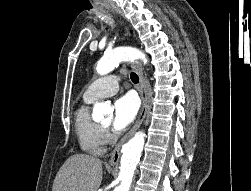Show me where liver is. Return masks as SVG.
<instances>
[{
    "label": "liver",
    "instance_id": "1",
    "mask_svg": "<svg viewBox=\"0 0 251 191\" xmlns=\"http://www.w3.org/2000/svg\"><path fill=\"white\" fill-rule=\"evenodd\" d=\"M102 177L101 159L86 153H74L56 173L52 191H97Z\"/></svg>",
    "mask_w": 251,
    "mask_h": 191
}]
</instances>
